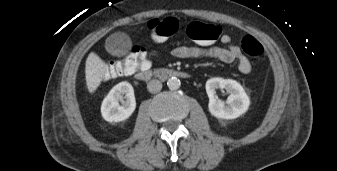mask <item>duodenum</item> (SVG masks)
Masks as SVG:
<instances>
[{"instance_id": "obj_1", "label": "duodenum", "mask_w": 337, "mask_h": 171, "mask_svg": "<svg viewBox=\"0 0 337 171\" xmlns=\"http://www.w3.org/2000/svg\"><path fill=\"white\" fill-rule=\"evenodd\" d=\"M138 80L148 81L156 78L161 81H166L171 78H185L188 76L187 73L172 69V68H150L143 67L138 72L135 73Z\"/></svg>"}]
</instances>
